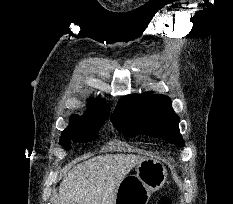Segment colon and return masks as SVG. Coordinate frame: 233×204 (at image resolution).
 Returning <instances> with one entry per match:
<instances>
[{"mask_svg": "<svg viewBox=\"0 0 233 204\" xmlns=\"http://www.w3.org/2000/svg\"><path fill=\"white\" fill-rule=\"evenodd\" d=\"M157 204H172L171 199L167 196H162Z\"/></svg>", "mask_w": 233, "mask_h": 204, "instance_id": "5ec220e1", "label": "colon"}]
</instances>
